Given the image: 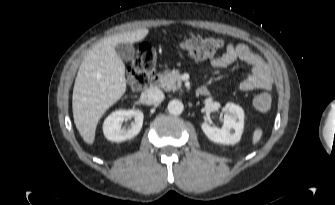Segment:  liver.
Masks as SVG:
<instances>
[{"instance_id": "1", "label": "liver", "mask_w": 335, "mask_h": 205, "mask_svg": "<svg viewBox=\"0 0 335 205\" xmlns=\"http://www.w3.org/2000/svg\"><path fill=\"white\" fill-rule=\"evenodd\" d=\"M146 28L115 34L94 45L85 55L73 88L74 123L87 144H93L103 114L126 92L125 65L115 51L119 43L139 42Z\"/></svg>"}]
</instances>
